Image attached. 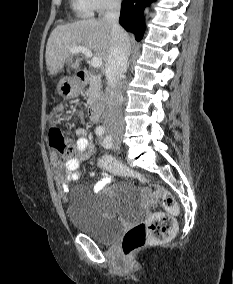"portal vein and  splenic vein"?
Masks as SVG:
<instances>
[{"label":"portal vein and splenic vein","mask_w":233,"mask_h":284,"mask_svg":"<svg viewBox=\"0 0 233 284\" xmlns=\"http://www.w3.org/2000/svg\"><path fill=\"white\" fill-rule=\"evenodd\" d=\"M70 53L76 54V53H83L87 58H92L91 59V66L94 68H100L103 65V61L101 58L98 57H92V51L88 49L85 46H75L70 49Z\"/></svg>","instance_id":"1"}]
</instances>
